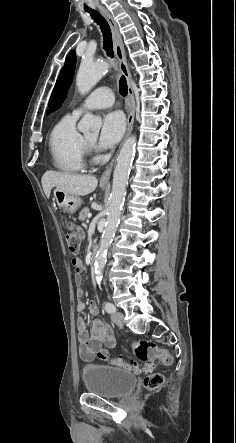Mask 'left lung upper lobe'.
<instances>
[{
    "label": "left lung upper lobe",
    "instance_id": "obj_1",
    "mask_svg": "<svg viewBox=\"0 0 236 443\" xmlns=\"http://www.w3.org/2000/svg\"><path fill=\"white\" fill-rule=\"evenodd\" d=\"M75 65L76 54L74 51H71L66 58L64 67L60 72L49 101V109L51 112L59 108L66 97L68 88L73 79Z\"/></svg>",
    "mask_w": 236,
    "mask_h": 443
}]
</instances>
